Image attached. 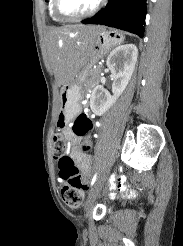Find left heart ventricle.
I'll return each mask as SVG.
<instances>
[{"instance_id":"b2bd125f","label":"left heart ventricle","mask_w":183,"mask_h":246,"mask_svg":"<svg viewBox=\"0 0 183 246\" xmlns=\"http://www.w3.org/2000/svg\"><path fill=\"white\" fill-rule=\"evenodd\" d=\"M98 0H61V9L68 15H79L90 10Z\"/></svg>"}]
</instances>
